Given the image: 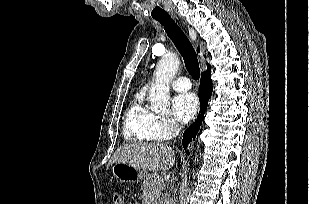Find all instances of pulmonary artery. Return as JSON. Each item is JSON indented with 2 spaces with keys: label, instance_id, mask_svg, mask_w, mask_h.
<instances>
[{
  "label": "pulmonary artery",
  "instance_id": "e3ab8cb5",
  "mask_svg": "<svg viewBox=\"0 0 309 204\" xmlns=\"http://www.w3.org/2000/svg\"><path fill=\"white\" fill-rule=\"evenodd\" d=\"M171 85L177 91H186L192 87V84L187 77H178L172 81Z\"/></svg>",
  "mask_w": 309,
  "mask_h": 204
}]
</instances>
